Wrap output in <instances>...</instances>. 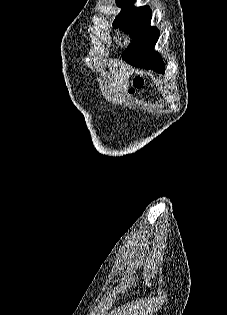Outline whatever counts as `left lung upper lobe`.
<instances>
[{"instance_id":"5c2ea615","label":"left lung upper lobe","mask_w":227,"mask_h":315,"mask_svg":"<svg viewBox=\"0 0 227 315\" xmlns=\"http://www.w3.org/2000/svg\"><path fill=\"white\" fill-rule=\"evenodd\" d=\"M116 2L122 10L115 18L113 27L124 31L133 39L130 47L122 54V58L126 61L132 46L146 38L157 42L159 30L150 26L152 12L149 6L134 7L135 0H116Z\"/></svg>"}]
</instances>
